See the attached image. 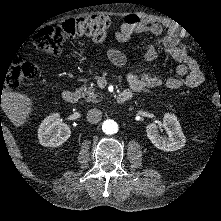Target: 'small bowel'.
Listing matches in <instances>:
<instances>
[{"label":"small bowel","mask_w":221,"mask_h":221,"mask_svg":"<svg viewBox=\"0 0 221 221\" xmlns=\"http://www.w3.org/2000/svg\"><path fill=\"white\" fill-rule=\"evenodd\" d=\"M138 21L133 24L124 23L120 29L116 30L115 38L119 42L128 41L134 33H150L160 36L168 26L156 18L140 13L137 15ZM158 49L168 54L176 63L177 77H166L152 74L146 65L154 62L158 57ZM109 61L115 66H124L127 58L123 52L116 48L105 50ZM142 62L145 66L136 67L126 75L127 82L131 90H126L133 95V92L140 93L146 88L164 86L170 90H177L182 87L198 88L203 82V73L197 62L189 55L187 46L179 43L178 37L172 30L156 42H148L142 55Z\"/></svg>","instance_id":"obj_1"}]
</instances>
